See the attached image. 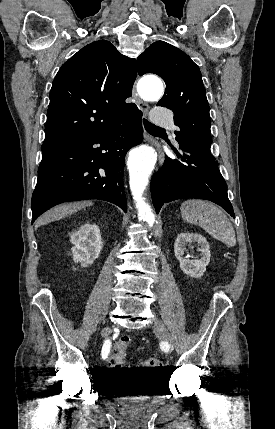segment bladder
<instances>
[{
  "instance_id": "31cf9c89",
  "label": "bladder",
  "mask_w": 275,
  "mask_h": 429,
  "mask_svg": "<svg viewBox=\"0 0 275 429\" xmlns=\"http://www.w3.org/2000/svg\"><path fill=\"white\" fill-rule=\"evenodd\" d=\"M106 384L105 398H116V403H147L157 393L154 377H107Z\"/></svg>"
}]
</instances>
